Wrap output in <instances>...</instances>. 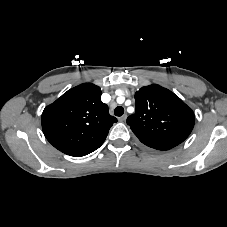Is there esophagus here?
Segmentation results:
<instances>
[{
    "label": "esophagus",
    "instance_id": "34e87169",
    "mask_svg": "<svg viewBox=\"0 0 227 227\" xmlns=\"http://www.w3.org/2000/svg\"><path fill=\"white\" fill-rule=\"evenodd\" d=\"M126 118H127V115L124 114V115H122L121 117H119L118 120H119L120 122H124V121L126 120Z\"/></svg>",
    "mask_w": 227,
    "mask_h": 227
}]
</instances>
